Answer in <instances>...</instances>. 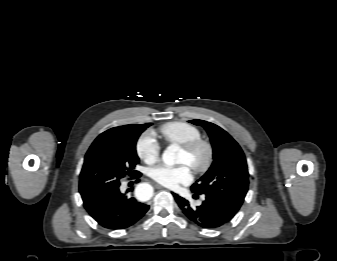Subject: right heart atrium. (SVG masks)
I'll return each instance as SVG.
<instances>
[{
	"label": "right heart atrium",
	"instance_id": "1",
	"mask_svg": "<svg viewBox=\"0 0 337 261\" xmlns=\"http://www.w3.org/2000/svg\"><path fill=\"white\" fill-rule=\"evenodd\" d=\"M136 152L147 164H153L158 160L160 146L152 132L147 131L140 136L136 144Z\"/></svg>",
	"mask_w": 337,
	"mask_h": 261
}]
</instances>
